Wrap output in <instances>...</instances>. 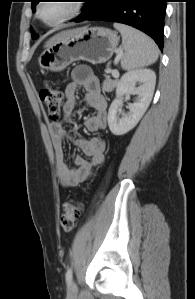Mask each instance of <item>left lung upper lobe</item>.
I'll return each mask as SVG.
<instances>
[{
  "instance_id": "5c2ea615",
  "label": "left lung upper lobe",
  "mask_w": 195,
  "mask_h": 299,
  "mask_svg": "<svg viewBox=\"0 0 195 299\" xmlns=\"http://www.w3.org/2000/svg\"><path fill=\"white\" fill-rule=\"evenodd\" d=\"M88 1L89 0H87L86 4L83 6V11L85 10L86 6L88 5ZM31 2H32V9L34 10L35 5L38 4L40 2V0H31ZM37 37L38 36L36 34H32L33 39H36Z\"/></svg>"
}]
</instances>
